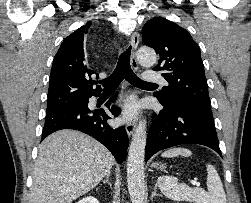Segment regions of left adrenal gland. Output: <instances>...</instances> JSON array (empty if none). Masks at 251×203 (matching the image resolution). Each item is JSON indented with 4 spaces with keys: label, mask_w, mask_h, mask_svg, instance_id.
Segmentation results:
<instances>
[{
    "label": "left adrenal gland",
    "mask_w": 251,
    "mask_h": 203,
    "mask_svg": "<svg viewBox=\"0 0 251 203\" xmlns=\"http://www.w3.org/2000/svg\"><path fill=\"white\" fill-rule=\"evenodd\" d=\"M156 190H157V185L155 184L154 190L151 194V199H153L154 196H159V194L156 193Z\"/></svg>",
    "instance_id": "obj_1"
}]
</instances>
